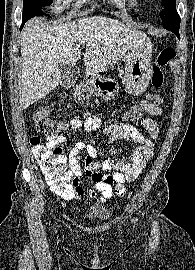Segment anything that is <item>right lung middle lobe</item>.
Wrapping results in <instances>:
<instances>
[{"label":"right lung middle lobe","mask_w":195,"mask_h":270,"mask_svg":"<svg viewBox=\"0 0 195 270\" xmlns=\"http://www.w3.org/2000/svg\"><path fill=\"white\" fill-rule=\"evenodd\" d=\"M53 0H24L23 13H34L37 16L45 14L41 8L49 6Z\"/></svg>","instance_id":"right-lung-middle-lobe-1"}]
</instances>
